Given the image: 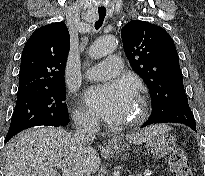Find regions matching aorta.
Segmentation results:
<instances>
[{"label":"aorta","mask_w":205,"mask_h":176,"mask_svg":"<svg viewBox=\"0 0 205 176\" xmlns=\"http://www.w3.org/2000/svg\"><path fill=\"white\" fill-rule=\"evenodd\" d=\"M117 47L115 37L107 36L97 39L90 47L89 54L91 57L98 59L112 53Z\"/></svg>","instance_id":"aorta-1"}]
</instances>
